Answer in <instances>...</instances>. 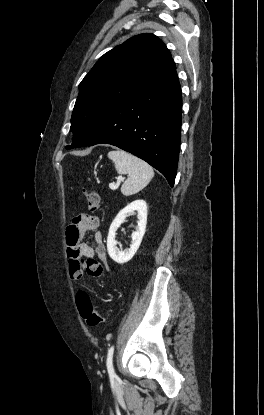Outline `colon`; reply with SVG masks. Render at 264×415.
<instances>
[{
  "label": "colon",
  "mask_w": 264,
  "mask_h": 415,
  "mask_svg": "<svg viewBox=\"0 0 264 415\" xmlns=\"http://www.w3.org/2000/svg\"><path fill=\"white\" fill-rule=\"evenodd\" d=\"M85 198L89 212L94 213L99 210L101 198L100 195L93 190H85ZM73 272L86 273L90 277L98 278L103 274V266L96 260L87 259L85 261H73L71 263ZM76 307L79 315L87 323L89 327L95 328L102 324L103 318L97 311L93 301L85 291H79L76 295Z\"/></svg>",
  "instance_id": "5ec220e1"
}]
</instances>
